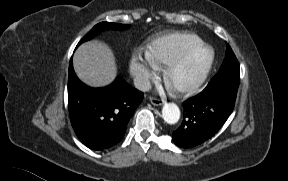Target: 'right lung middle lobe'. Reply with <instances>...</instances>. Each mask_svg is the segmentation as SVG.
Listing matches in <instances>:
<instances>
[{
	"mask_svg": "<svg viewBox=\"0 0 288 181\" xmlns=\"http://www.w3.org/2000/svg\"><path fill=\"white\" fill-rule=\"evenodd\" d=\"M129 28V25L125 24H117V23H109V22H101L97 25H95L92 30L84 36L81 41L78 43L77 46H79L82 42L88 41L95 37L99 32L106 30V29H115V30H125Z\"/></svg>",
	"mask_w": 288,
	"mask_h": 181,
	"instance_id": "obj_1",
	"label": "right lung middle lobe"
}]
</instances>
